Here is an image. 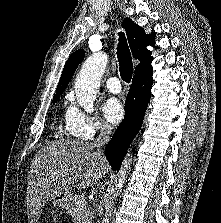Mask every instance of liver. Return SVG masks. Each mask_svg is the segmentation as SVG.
I'll use <instances>...</instances> for the list:
<instances>
[{
  "label": "liver",
  "instance_id": "liver-1",
  "mask_svg": "<svg viewBox=\"0 0 221 223\" xmlns=\"http://www.w3.org/2000/svg\"><path fill=\"white\" fill-rule=\"evenodd\" d=\"M108 172L104 156L88 142L56 140L34 156L28 176L29 223H37L46 201L55 193L79 182L93 186Z\"/></svg>",
  "mask_w": 221,
  "mask_h": 223
}]
</instances>
